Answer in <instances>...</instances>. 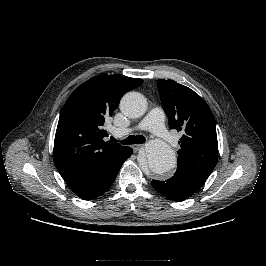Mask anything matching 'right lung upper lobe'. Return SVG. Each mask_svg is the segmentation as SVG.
<instances>
[{
    "label": "right lung upper lobe",
    "instance_id": "cb5924a9",
    "mask_svg": "<svg viewBox=\"0 0 266 266\" xmlns=\"http://www.w3.org/2000/svg\"><path fill=\"white\" fill-rule=\"evenodd\" d=\"M142 82L99 75L75 89L61 111L54 140V164L61 176L115 157L126 148L103 140L107 136L104 125L122 96Z\"/></svg>",
    "mask_w": 266,
    "mask_h": 266
}]
</instances>
